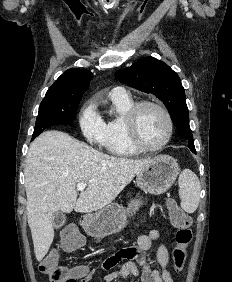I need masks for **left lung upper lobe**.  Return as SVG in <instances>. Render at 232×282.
<instances>
[{
    "label": "left lung upper lobe",
    "mask_w": 232,
    "mask_h": 282,
    "mask_svg": "<svg viewBox=\"0 0 232 282\" xmlns=\"http://www.w3.org/2000/svg\"><path fill=\"white\" fill-rule=\"evenodd\" d=\"M115 76L128 86L159 98L168 109L179 134L188 140V147L194 146L185 90L176 72L164 62L147 57L131 67L118 70Z\"/></svg>",
    "instance_id": "left-lung-upper-lobe-1"
}]
</instances>
